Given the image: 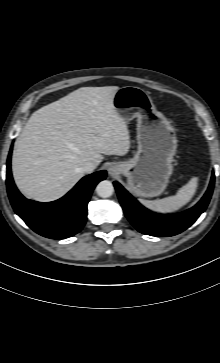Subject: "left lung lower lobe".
Wrapping results in <instances>:
<instances>
[{"label": "left lung lower lobe", "mask_w": 220, "mask_h": 363, "mask_svg": "<svg viewBox=\"0 0 220 363\" xmlns=\"http://www.w3.org/2000/svg\"><path fill=\"white\" fill-rule=\"evenodd\" d=\"M212 173L209 188L203 198L191 209L173 215L150 212L134 199L118 182H114L124 213L132 225L141 233L151 236H173L191 226L205 211L214 187Z\"/></svg>", "instance_id": "0a47b994"}]
</instances>
